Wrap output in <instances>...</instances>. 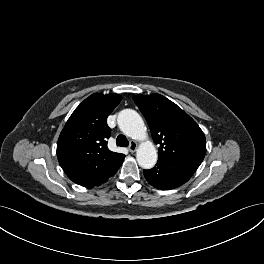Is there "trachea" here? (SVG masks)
Listing matches in <instances>:
<instances>
[{"label": "trachea", "instance_id": "3493384b", "mask_svg": "<svg viewBox=\"0 0 264 264\" xmlns=\"http://www.w3.org/2000/svg\"><path fill=\"white\" fill-rule=\"evenodd\" d=\"M117 146L127 147L129 145L128 139L124 135H118L116 139Z\"/></svg>", "mask_w": 264, "mask_h": 264}]
</instances>
